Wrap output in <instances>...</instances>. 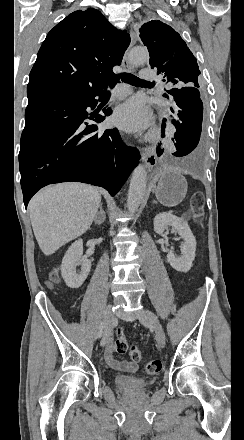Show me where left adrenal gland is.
Here are the masks:
<instances>
[{
  "label": "left adrenal gland",
  "mask_w": 244,
  "mask_h": 440,
  "mask_svg": "<svg viewBox=\"0 0 244 440\" xmlns=\"http://www.w3.org/2000/svg\"><path fill=\"white\" fill-rule=\"evenodd\" d=\"M153 204H157V202H155V200H154Z\"/></svg>",
  "instance_id": "obj_1"
}]
</instances>
